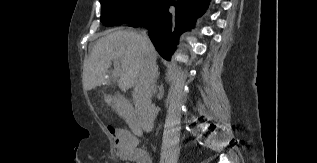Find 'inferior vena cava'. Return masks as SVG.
Here are the masks:
<instances>
[{
  "label": "inferior vena cava",
  "mask_w": 317,
  "mask_h": 163,
  "mask_svg": "<svg viewBox=\"0 0 317 163\" xmlns=\"http://www.w3.org/2000/svg\"><path fill=\"white\" fill-rule=\"evenodd\" d=\"M142 37L143 61L135 83L133 100L141 127L144 131L150 132L153 129L155 118V111L151 99L155 93L158 68L154 48L146 31L142 32Z\"/></svg>",
  "instance_id": "inferior-vena-cava-1"
}]
</instances>
